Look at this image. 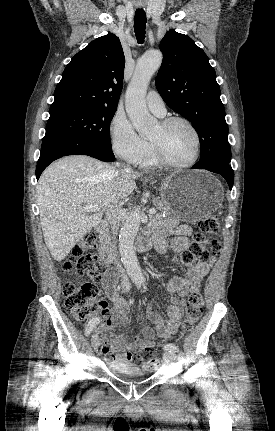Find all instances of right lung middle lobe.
Wrapping results in <instances>:
<instances>
[{
    "mask_svg": "<svg viewBox=\"0 0 275 431\" xmlns=\"http://www.w3.org/2000/svg\"><path fill=\"white\" fill-rule=\"evenodd\" d=\"M116 109L87 107L50 113L44 140L57 138L85 140L112 150L109 124Z\"/></svg>",
    "mask_w": 275,
    "mask_h": 431,
    "instance_id": "dd1d6c3e",
    "label": "right lung middle lobe"
}]
</instances>
